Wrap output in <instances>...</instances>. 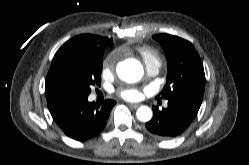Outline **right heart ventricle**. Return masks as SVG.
Listing matches in <instances>:
<instances>
[{
	"mask_svg": "<svg viewBox=\"0 0 249 165\" xmlns=\"http://www.w3.org/2000/svg\"><path fill=\"white\" fill-rule=\"evenodd\" d=\"M136 54L142 59L146 66H159L162 64L160 54L148 46H138L135 48Z\"/></svg>",
	"mask_w": 249,
	"mask_h": 165,
	"instance_id": "right-heart-ventricle-1",
	"label": "right heart ventricle"
}]
</instances>
